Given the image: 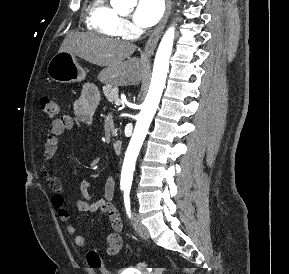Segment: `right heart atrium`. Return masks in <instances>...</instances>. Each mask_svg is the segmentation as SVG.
Here are the masks:
<instances>
[{"instance_id":"obj_1","label":"right heart atrium","mask_w":289,"mask_h":274,"mask_svg":"<svg viewBox=\"0 0 289 274\" xmlns=\"http://www.w3.org/2000/svg\"><path fill=\"white\" fill-rule=\"evenodd\" d=\"M122 29H123V32L127 34L134 31V28L132 27V25L127 21H122Z\"/></svg>"}]
</instances>
